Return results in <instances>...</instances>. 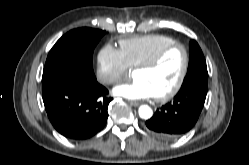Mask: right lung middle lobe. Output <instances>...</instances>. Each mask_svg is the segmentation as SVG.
I'll return each instance as SVG.
<instances>
[{"mask_svg":"<svg viewBox=\"0 0 249 165\" xmlns=\"http://www.w3.org/2000/svg\"><path fill=\"white\" fill-rule=\"evenodd\" d=\"M105 31L78 28L63 35L50 50L45 67H61L95 80L92 55Z\"/></svg>","mask_w":249,"mask_h":165,"instance_id":"1","label":"right lung middle lobe"}]
</instances>
